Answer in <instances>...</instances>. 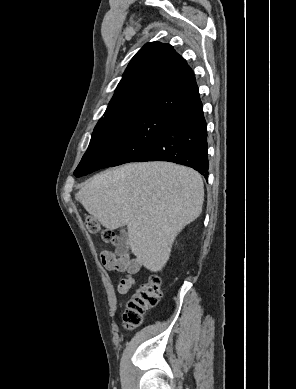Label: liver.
<instances>
[{"label":"liver","instance_id":"6515ba94","mask_svg":"<svg viewBox=\"0 0 296 389\" xmlns=\"http://www.w3.org/2000/svg\"><path fill=\"white\" fill-rule=\"evenodd\" d=\"M75 197L103 227L126 225L132 253L146 269L158 272L176 236L200 216L204 189L201 175L191 168L143 162L96 175Z\"/></svg>","mask_w":296,"mask_h":389}]
</instances>
